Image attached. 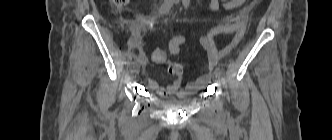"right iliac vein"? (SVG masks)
Returning <instances> with one entry per match:
<instances>
[{"label":"right iliac vein","mask_w":332,"mask_h":140,"mask_svg":"<svg viewBox=\"0 0 332 140\" xmlns=\"http://www.w3.org/2000/svg\"><path fill=\"white\" fill-rule=\"evenodd\" d=\"M142 63L141 59H138L134 64V70L137 71Z\"/></svg>","instance_id":"right-iliac-vein-1"}]
</instances>
